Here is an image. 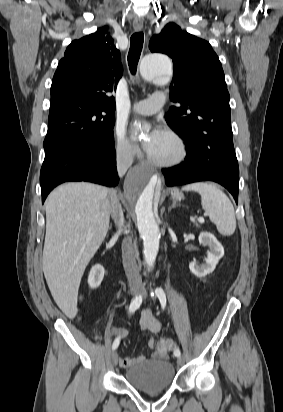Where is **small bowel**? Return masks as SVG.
I'll use <instances>...</instances> for the list:
<instances>
[{
    "label": "small bowel",
    "mask_w": 283,
    "mask_h": 412,
    "mask_svg": "<svg viewBox=\"0 0 283 412\" xmlns=\"http://www.w3.org/2000/svg\"><path fill=\"white\" fill-rule=\"evenodd\" d=\"M140 326L143 330L149 331L152 334L156 335L160 331V323L159 321L153 316L152 312L149 309H145L142 311L141 316H140ZM110 334L112 336H125L126 335V330L122 328H111L110 329ZM148 345L150 348L155 347V338L152 337L150 338ZM154 357H159L158 353H155L153 355ZM145 360L144 356H137L133 358H120L119 364L122 368H127L130 366H133L136 363H141Z\"/></svg>",
    "instance_id": "c3829d8e"
}]
</instances>
